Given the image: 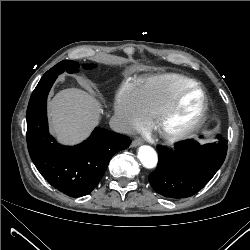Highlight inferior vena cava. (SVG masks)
I'll return each instance as SVG.
<instances>
[{
	"mask_svg": "<svg viewBox=\"0 0 250 250\" xmlns=\"http://www.w3.org/2000/svg\"><path fill=\"white\" fill-rule=\"evenodd\" d=\"M109 125L113 131L118 133H132V127L129 122L119 116H112Z\"/></svg>",
	"mask_w": 250,
	"mask_h": 250,
	"instance_id": "1",
	"label": "inferior vena cava"
}]
</instances>
